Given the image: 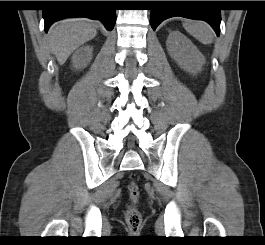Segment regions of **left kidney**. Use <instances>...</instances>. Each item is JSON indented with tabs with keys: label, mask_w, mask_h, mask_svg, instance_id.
I'll use <instances>...</instances> for the list:
<instances>
[{
	"label": "left kidney",
	"mask_w": 265,
	"mask_h": 245,
	"mask_svg": "<svg viewBox=\"0 0 265 245\" xmlns=\"http://www.w3.org/2000/svg\"><path fill=\"white\" fill-rule=\"evenodd\" d=\"M171 58L186 72L197 74L205 64V57L185 35L172 31L166 41Z\"/></svg>",
	"instance_id": "left-kidney-1"
}]
</instances>
